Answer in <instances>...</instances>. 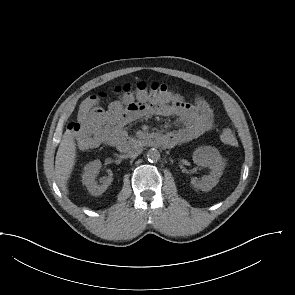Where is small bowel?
<instances>
[{
	"mask_svg": "<svg viewBox=\"0 0 295 295\" xmlns=\"http://www.w3.org/2000/svg\"><path fill=\"white\" fill-rule=\"evenodd\" d=\"M175 117L180 127L165 134L168 146L194 140L214 127L213 112L201 98L184 101L174 92L136 91L123 94L108 109L97 108L82 130L69 129L80 149L88 150L101 143L115 145L124 139V126L142 117ZM94 135L95 137H91Z\"/></svg>",
	"mask_w": 295,
	"mask_h": 295,
	"instance_id": "1",
	"label": "small bowel"
}]
</instances>
